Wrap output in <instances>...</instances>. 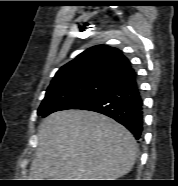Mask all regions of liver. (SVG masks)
<instances>
[{
	"label": "liver",
	"mask_w": 178,
	"mask_h": 186,
	"mask_svg": "<svg viewBox=\"0 0 178 186\" xmlns=\"http://www.w3.org/2000/svg\"><path fill=\"white\" fill-rule=\"evenodd\" d=\"M37 137L31 180H116L131 171L138 150L124 126L85 110L50 114Z\"/></svg>",
	"instance_id": "6515ba94"
}]
</instances>
